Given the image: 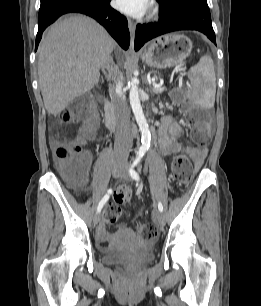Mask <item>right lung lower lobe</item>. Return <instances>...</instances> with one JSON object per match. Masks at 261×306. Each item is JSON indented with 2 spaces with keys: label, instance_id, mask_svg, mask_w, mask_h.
Masks as SVG:
<instances>
[{
  "label": "right lung lower lobe",
  "instance_id": "1",
  "mask_svg": "<svg viewBox=\"0 0 261 306\" xmlns=\"http://www.w3.org/2000/svg\"><path fill=\"white\" fill-rule=\"evenodd\" d=\"M69 12H80L93 17L123 49H128L130 35L127 19L110 6V0H41L36 49L46 27Z\"/></svg>",
  "mask_w": 261,
  "mask_h": 306
}]
</instances>
